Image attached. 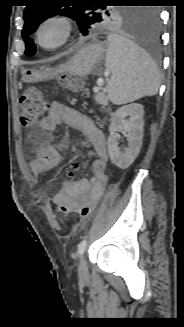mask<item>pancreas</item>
Instances as JSON below:
<instances>
[{"mask_svg": "<svg viewBox=\"0 0 184 327\" xmlns=\"http://www.w3.org/2000/svg\"><path fill=\"white\" fill-rule=\"evenodd\" d=\"M95 101L97 104L102 105V108L108 105V98L103 92H96Z\"/></svg>", "mask_w": 184, "mask_h": 327, "instance_id": "pancreas-1", "label": "pancreas"}]
</instances>
